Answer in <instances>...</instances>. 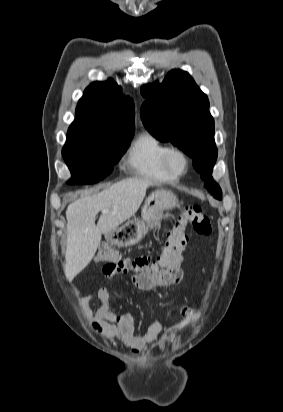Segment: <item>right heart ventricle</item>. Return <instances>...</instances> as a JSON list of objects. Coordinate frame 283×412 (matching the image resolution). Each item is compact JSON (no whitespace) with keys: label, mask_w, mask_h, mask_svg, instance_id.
Masks as SVG:
<instances>
[{"label":"right heart ventricle","mask_w":283,"mask_h":412,"mask_svg":"<svg viewBox=\"0 0 283 412\" xmlns=\"http://www.w3.org/2000/svg\"><path fill=\"white\" fill-rule=\"evenodd\" d=\"M168 143L150 132L141 133L131 144L126 165L134 173L159 181L171 182L176 177L169 174L163 165Z\"/></svg>","instance_id":"right-heart-ventricle-1"}]
</instances>
